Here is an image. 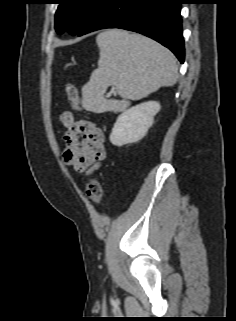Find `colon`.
I'll list each match as a JSON object with an SVG mask.
<instances>
[{"mask_svg":"<svg viewBox=\"0 0 236 321\" xmlns=\"http://www.w3.org/2000/svg\"><path fill=\"white\" fill-rule=\"evenodd\" d=\"M64 91L74 109H79V93L77 86L71 82L64 84ZM87 197L95 204H100L103 198V187L99 179L91 177L86 182L85 187Z\"/></svg>","mask_w":236,"mask_h":321,"instance_id":"1","label":"colon"}]
</instances>
